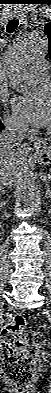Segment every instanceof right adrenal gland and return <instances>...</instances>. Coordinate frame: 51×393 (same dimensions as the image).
I'll return each mask as SVG.
<instances>
[{
	"label": "right adrenal gland",
	"mask_w": 51,
	"mask_h": 393,
	"mask_svg": "<svg viewBox=\"0 0 51 393\" xmlns=\"http://www.w3.org/2000/svg\"><path fill=\"white\" fill-rule=\"evenodd\" d=\"M0 191H1V192H5V191L3 190V188H1Z\"/></svg>",
	"instance_id": "right-adrenal-gland-1"
}]
</instances>
